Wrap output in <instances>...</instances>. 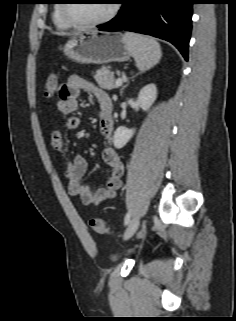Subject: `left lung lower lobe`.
Masks as SVG:
<instances>
[{
  "mask_svg": "<svg viewBox=\"0 0 236 321\" xmlns=\"http://www.w3.org/2000/svg\"><path fill=\"white\" fill-rule=\"evenodd\" d=\"M116 17L99 25L101 31H132L172 43L188 60L194 0H120Z\"/></svg>",
  "mask_w": 236,
  "mask_h": 321,
  "instance_id": "1",
  "label": "left lung lower lobe"
}]
</instances>
